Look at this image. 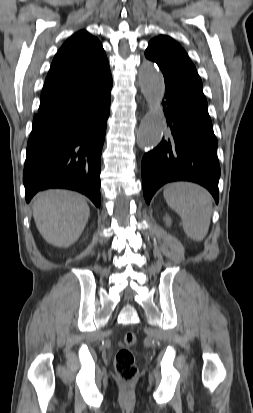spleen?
Instances as JSON below:
<instances>
[{"mask_svg":"<svg viewBox=\"0 0 253 413\" xmlns=\"http://www.w3.org/2000/svg\"><path fill=\"white\" fill-rule=\"evenodd\" d=\"M163 194L168 206L181 217L187 236L194 241H202L211 221V194L203 187L188 182L169 184Z\"/></svg>","mask_w":253,"mask_h":413,"instance_id":"obj_1","label":"spleen"}]
</instances>
